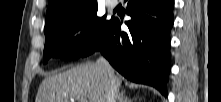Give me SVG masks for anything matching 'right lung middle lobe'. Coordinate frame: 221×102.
Listing matches in <instances>:
<instances>
[{"label":"right lung middle lobe","instance_id":"dd1d6c3e","mask_svg":"<svg viewBox=\"0 0 221 102\" xmlns=\"http://www.w3.org/2000/svg\"><path fill=\"white\" fill-rule=\"evenodd\" d=\"M97 2L63 9L46 20L44 63L51 57L75 60L86 53L109 23L97 16ZM83 28L76 38L73 34Z\"/></svg>","mask_w":221,"mask_h":102}]
</instances>
